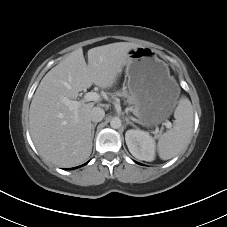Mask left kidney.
Here are the masks:
<instances>
[{
  "instance_id": "obj_1",
  "label": "left kidney",
  "mask_w": 227,
  "mask_h": 227,
  "mask_svg": "<svg viewBox=\"0 0 227 227\" xmlns=\"http://www.w3.org/2000/svg\"><path fill=\"white\" fill-rule=\"evenodd\" d=\"M130 153L139 160L151 162L155 158V140L148 132L130 129L125 133Z\"/></svg>"
}]
</instances>
